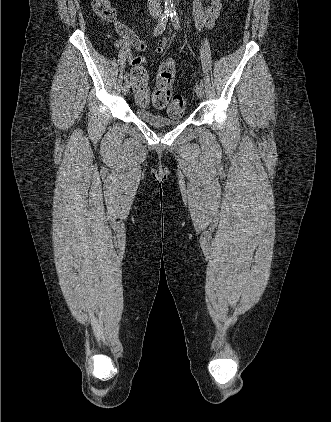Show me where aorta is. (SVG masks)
Instances as JSON below:
<instances>
[{
	"label": "aorta",
	"instance_id": "aorta-1",
	"mask_svg": "<svg viewBox=\"0 0 331 422\" xmlns=\"http://www.w3.org/2000/svg\"><path fill=\"white\" fill-rule=\"evenodd\" d=\"M173 8V0H165V9L172 10Z\"/></svg>",
	"mask_w": 331,
	"mask_h": 422
}]
</instances>
